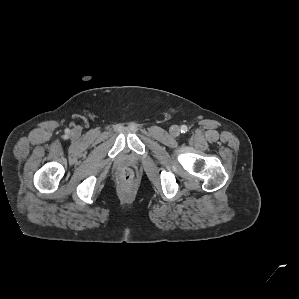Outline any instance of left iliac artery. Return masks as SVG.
I'll return each mask as SVG.
<instances>
[{
    "mask_svg": "<svg viewBox=\"0 0 299 299\" xmlns=\"http://www.w3.org/2000/svg\"><path fill=\"white\" fill-rule=\"evenodd\" d=\"M187 131H188L187 126H186V125H182V126H181V132H182V133H186Z\"/></svg>",
    "mask_w": 299,
    "mask_h": 299,
    "instance_id": "1",
    "label": "left iliac artery"
}]
</instances>
